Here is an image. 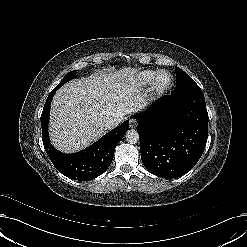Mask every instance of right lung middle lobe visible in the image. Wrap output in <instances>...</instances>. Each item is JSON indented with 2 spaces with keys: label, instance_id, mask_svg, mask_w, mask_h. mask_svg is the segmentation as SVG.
<instances>
[{
  "label": "right lung middle lobe",
  "instance_id": "obj_1",
  "mask_svg": "<svg viewBox=\"0 0 247 247\" xmlns=\"http://www.w3.org/2000/svg\"><path fill=\"white\" fill-rule=\"evenodd\" d=\"M75 75V72H69L65 75V77L62 79V81L55 87V88H60L63 84L68 82L69 80L73 79Z\"/></svg>",
  "mask_w": 247,
  "mask_h": 247
}]
</instances>
